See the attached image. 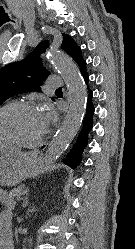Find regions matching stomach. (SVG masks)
I'll return each instance as SVG.
<instances>
[{
  "label": "stomach",
  "mask_w": 135,
  "mask_h": 249,
  "mask_svg": "<svg viewBox=\"0 0 135 249\" xmlns=\"http://www.w3.org/2000/svg\"><path fill=\"white\" fill-rule=\"evenodd\" d=\"M41 168L37 151L21 152L18 149H0V185L14 186L27 177H34Z\"/></svg>",
  "instance_id": "stomach-1"
}]
</instances>
